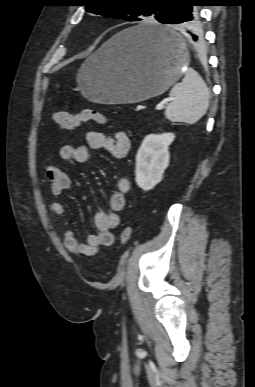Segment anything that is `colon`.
I'll use <instances>...</instances> for the list:
<instances>
[{
    "label": "colon",
    "instance_id": "obj_1",
    "mask_svg": "<svg viewBox=\"0 0 255 387\" xmlns=\"http://www.w3.org/2000/svg\"><path fill=\"white\" fill-rule=\"evenodd\" d=\"M53 121L63 129H74L85 122L93 121L100 125L108 123V118L101 112L94 109H83L78 113H70L64 110H57L53 113ZM131 238V229L125 228L120 234L122 244H127Z\"/></svg>",
    "mask_w": 255,
    "mask_h": 387
}]
</instances>
